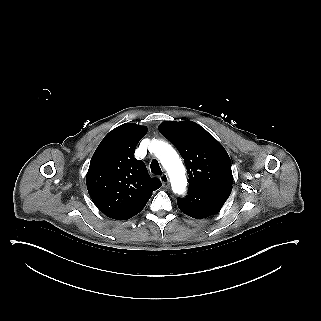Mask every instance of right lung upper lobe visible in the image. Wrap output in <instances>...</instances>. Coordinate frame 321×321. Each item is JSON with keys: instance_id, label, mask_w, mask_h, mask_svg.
Returning <instances> with one entry per match:
<instances>
[{"instance_id": "right-lung-upper-lobe-1", "label": "right lung upper lobe", "mask_w": 321, "mask_h": 321, "mask_svg": "<svg viewBox=\"0 0 321 321\" xmlns=\"http://www.w3.org/2000/svg\"><path fill=\"white\" fill-rule=\"evenodd\" d=\"M147 127L125 123L109 132L94 152L86 176L89 195L106 216L126 220L141 211L161 187L134 151Z\"/></svg>"}]
</instances>
